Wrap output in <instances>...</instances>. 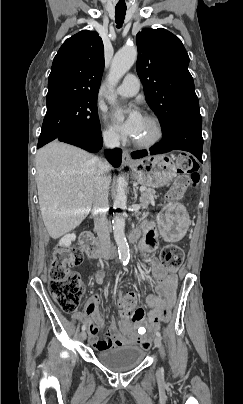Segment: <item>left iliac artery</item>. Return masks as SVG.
Listing matches in <instances>:
<instances>
[{
  "instance_id": "44dca946",
  "label": "left iliac artery",
  "mask_w": 243,
  "mask_h": 404,
  "mask_svg": "<svg viewBox=\"0 0 243 404\" xmlns=\"http://www.w3.org/2000/svg\"><path fill=\"white\" fill-rule=\"evenodd\" d=\"M156 335L161 338V333L160 332H156Z\"/></svg>"
}]
</instances>
